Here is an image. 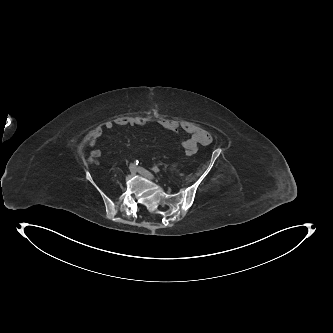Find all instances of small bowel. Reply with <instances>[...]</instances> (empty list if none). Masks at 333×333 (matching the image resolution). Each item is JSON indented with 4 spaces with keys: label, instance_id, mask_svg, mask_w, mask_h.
<instances>
[{
    "label": "small bowel",
    "instance_id": "small-bowel-1",
    "mask_svg": "<svg viewBox=\"0 0 333 333\" xmlns=\"http://www.w3.org/2000/svg\"><path fill=\"white\" fill-rule=\"evenodd\" d=\"M146 124V120L143 118H134V117H123L119 118L115 121H107L105 123V128L112 129L115 125L117 126H144ZM160 126L171 132L183 131L188 137L181 142L184 150H194L197 149L199 145H209L211 144L213 138L211 134L201 128L200 126L192 123V122H178L171 119H162L159 122ZM103 130L101 127H97L94 129L88 139V143L90 146H95L98 139L102 136ZM101 151L99 149H94L91 152V155L94 158L101 157Z\"/></svg>",
    "mask_w": 333,
    "mask_h": 333
}]
</instances>
